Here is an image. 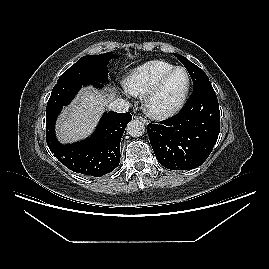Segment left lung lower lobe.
<instances>
[{"label":"left lung lower lobe","mask_w":269,"mask_h":269,"mask_svg":"<svg viewBox=\"0 0 269 269\" xmlns=\"http://www.w3.org/2000/svg\"><path fill=\"white\" fill-rule=\"evenodd\" d=\"M157 160L170 170L200 166L210 155L220 132V111L211 83L196 88L176 116L147 128Z\"/></svg>","instance_id":"obj_1"}]
</instances>
